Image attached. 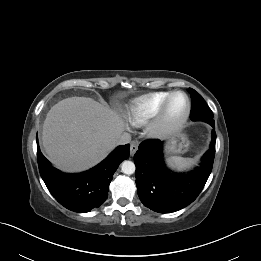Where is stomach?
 <instances>
[{
	"label": "stomach",
	"mask_w": 261,
	"mask_h": 261,
	"mask_svg": "<svg viewBox=\"0 0 261 261\" xmlns=\"http://www.w3.org/2000/svg\"><path fill=\"white\" fill-rule=\"evenodd\" d=\"M189 140L183 133H177L172 136L166 145L165 152L168 155L182 154L187 151Z\"/></svg>",
	"instance_id": "stomach-1"
}]
</instances>
